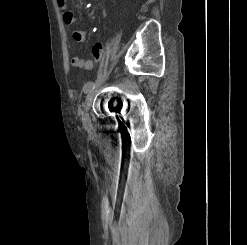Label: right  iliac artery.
I'll use <instances>...</instances> for the list:
<instances>
[{
    "label": "right iliac artery",
    "mask_w": 247,
    "mask_h": 245,
    "mask_svg": "<svg viewBox=\"0 0 247 245\" xmlns=\"http://www.w3.org/2000/svg\"><path fill=\"white\" fill-rule=\"evenodd\" d=\"M99 80L102 81L103 79L100 78ZM99 80H96V81H95V84H94L93 82H88V83H86V84L84 85V87H83L84 93H89V92L93 89L94 85H95V86H96V85H99V84H100V81H99Z\"/></svg>",
    "instance_id": "82829eb1"
}]
</instances>
